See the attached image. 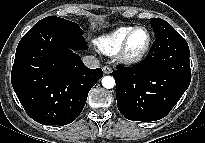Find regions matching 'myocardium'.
<instances>
[{
    "mask_svg": "<svg viewBox=\"0 0 205 143\" xmlns=\"http://www.w3.org/2000/svg\"><path fill=\"white\" fill-rule=\"evenodd\" d=\"M140 29L146 31L147 42L144 48L138 54L133 55L128 52V44L133 33ZM151 43H152V34L150 30L146 26H135L126 34L125 38L123 39L122 44L118 52L116 53L117 60L126 65L137 64L140 61H142L144 57L147 55V53L150 50Z\"/></svg>",
    "mask_w": 205,
    "mask_h": 143,
    "instance_id": "myocardium-1",
    "label": "myocardium"
}]
</instances>
